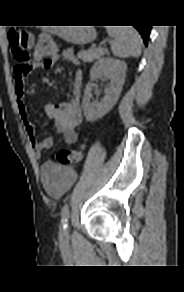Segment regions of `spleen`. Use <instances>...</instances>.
Listing matches in <instances>:
<instances>
[{
    "mask_svg": "<svg viewBox=\"0 0 184 292\" xmlns=\"http://www.w3.org/2000/svg\"><path fill=\"white\" fill-rule=\"evenodd\" d=\"M109 36L113 39L111 51L118 58L139 57L142 49V39L131 26L108 27Z\"/></svg>",
    "mask_w": 184,
    "mask_h": 292,
    "instance_id": "1",
    "label": "spleen"
}]
</instances>
